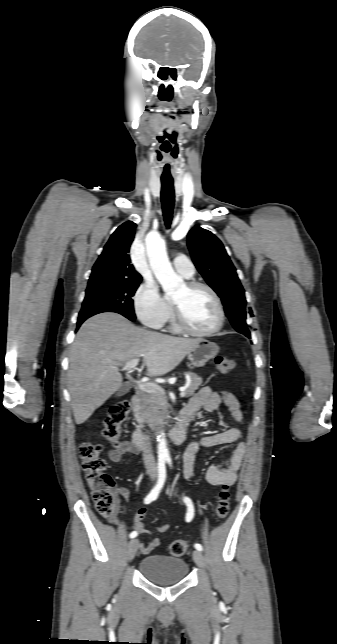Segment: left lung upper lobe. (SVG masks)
I'll return each mask as SVG.
<instances>
[{"label":"left lung upper lobe","instance_id":"1","mask_svg":"<svg viewBox=\"0 0 337 644\" xmlns=\"http://www.w3.org/2000/svg\"><path fill=\"white\" fill-rule=\"evenodd\" d=\"M187 245L197 270L221 298L234 329L251 338L246 324L244 289L222 242L210 231L197 226L189 231Z\"/></svg>","mask_w":337,"mask_h":644}]
</instances>
